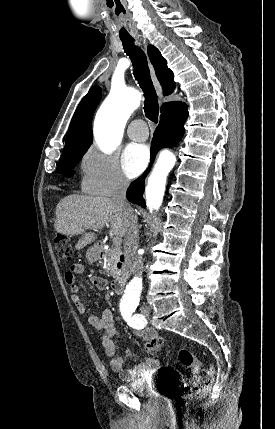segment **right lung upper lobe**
Segmentation results:
<instances>
[{
    "mask_svg": "<svg viewBox=\"0 0 275 429\" xmlns=\"http://www.w3.org/2000/svg\"><path fill=\"white\" fill-rule=\"evenodd\" d=\"M148 55L163 87L164 95L171 94L175 88V82L173 72L167 67V61L162 57L159 50L152 45L148 46ZM100 98L101 89L99 86H95L81 100L71 120L62 157L86 152L90 147L93 140L92 117ZM177 103L178 101H173L162 104L160 118L173 110Z\"/></svg>",
    "mask_w": 275,
    "mask_h": 429,
    "instance_id": "obj_1",
    "label": "right lung upper lobe"
}]
</instances>
